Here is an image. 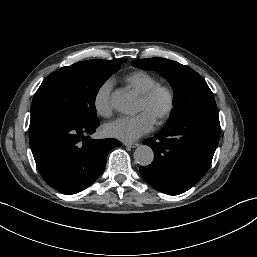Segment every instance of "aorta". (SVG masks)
Masks as SVG:
<instances>
[{
	"mask_svg": "<svg viewBox=\"0 0 257 257\" xmlns=\"http://www.w3.org/2000/svg\"><path fill=\"white\" fill-rule=\"evenodd\" d=\"M111 103L122 114L132 115L136 112V98L129 91H116L111 97ZM134 159L139 165L147 166L154 159L153 150L147 145H141L135 150Z\"/></svg>",
	"mask_w": 257,
	"mask_h": 257,
	"instance_id": "obj_1",
	"label": "aorta"
}]
</instances>
